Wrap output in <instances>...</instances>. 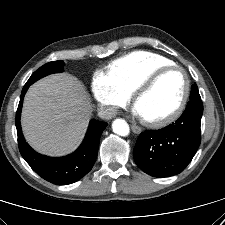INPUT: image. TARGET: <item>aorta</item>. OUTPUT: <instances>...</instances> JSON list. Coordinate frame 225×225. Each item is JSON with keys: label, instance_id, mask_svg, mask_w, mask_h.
Instances as JSON below:
<instances>
[{"label": "aorta", "instance_id": "aorta-1", "mask_svg": "<svg viewBox=\"0 0 225 225\" xmlns=\"http://www.w3.org/2000/svg\"><path fill=\"white\" fill-rule=\"evenodd\" d=\"M113 132L119 136H128L130 128L128 123L121 118L115 119L112 123Z\"/></svg>", "mask_w": 225, "mask_h": 225}]
</instances>
